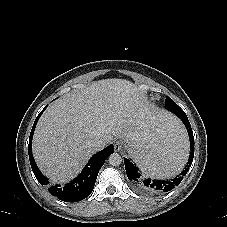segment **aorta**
I'll use <instances>...</instances> for the list:
<instances>
[{
	"mask_svg": "<svg viewBox=\"0 0 227 227\" xmlns=\"http://www.w3.org/2000/svg\"><path fill=\"white\" fill-rule=\"evenodd\" d=\"M108 161L112 166H119L122 163V157L118 153H112Z\"/></svg>",
	"mask_w": 227,
	"mask_h": 227,
	"instance_id": "762f6f07",
	"label": "aorta"
}]
</instances>
